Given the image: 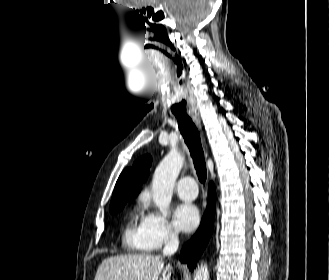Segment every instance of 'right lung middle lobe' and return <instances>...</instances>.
Wrapping results in <instances>:
<instances>
[{
  "mask_svg": "<svg viewBox=\"0 0 329 280\" xmlns=\"http://www.w3.org/2000/svg\"><path fill=\"white\" fill-rule=\"evenodd\" d=\"M128 200L129 199L120 201L119 203H117L113 207H110V212L111 213H116V212L120 211Z\"/></svg>",
  "mask_w": 329,
  "mask_h": 280,
  "instance_id": "obj_1",
  "label": "right lung middle lobe"
}]
</instances>
